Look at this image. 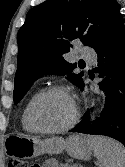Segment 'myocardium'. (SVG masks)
Segmentation results:
<instances>
[{
	"instance_id": "myocardium-1",
	"label": "myocardium",
	"mask_w": 125,
	"mask_h": 167,
	"mask_svg": "<svg viewBox=\"0 0 125 167\" xmlns=\"http://www.w3.org/2000/svg\"><path fill=\"white\" fill-rule=\"evenodd\" d=\"M55 92L63 93L70 98L72 105H73L72 118L65 125L58 127V128L45 129V128L39 127L35 123V120H34V110L41 99H43L45 96H47L51 93H55ZM28 119H29V122H30L33 130L38 132V133H43V134L61 133V132H64V131L71 129L77 123V121L79 119V108H78V105L75 101V98H74L71 90L68 87H66L64 85H51V86L43 89L42 91H40L34 97V99L32 100V102L29 106V109H28Z\"/></svg>"
}]
</instances>
